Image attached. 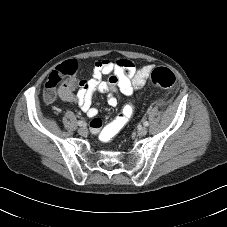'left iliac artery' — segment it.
<instances>
[{
  "label": "left iliac artery",
  "instance_id": "1",
  "mask_svg": "<svg viewBox=\"0 0 227 227\" xmlns=\"http://www.w3.org/2000/svg\"><path fill=\"white\" fill-rule=\"evenodd\" d=\"M143 124H144V126H148L149 125V123L147 121H145Z\"/></svg>",
  "mask_w": 227,
  "mask_h": 227
}]
</instances>
